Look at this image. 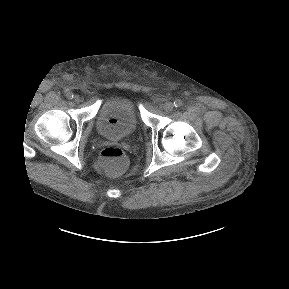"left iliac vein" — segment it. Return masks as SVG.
Wrapping results in <instances>:
<instances>
[{
    "instance_id": "4c4485c4",
    "label": "left iliac vein",
    "mask_w": 289,
    "mask_h": 289,
    "mask_svg": "<svg viewBox=\"0 0 289 289\" xmlns=\"http://www.w3.org/2000/svg\"><path fill=\"white\" fill-rule=\"evenodd\" d=\"M173 107H174L173 103L169 102V101H167L163 104V109L165 111H171L173 109Z\"/></svg>"
}]
</instances>
